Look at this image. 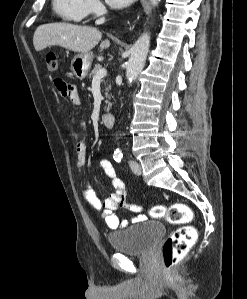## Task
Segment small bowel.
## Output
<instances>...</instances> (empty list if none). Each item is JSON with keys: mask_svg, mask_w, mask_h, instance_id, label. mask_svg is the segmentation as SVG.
<instances>
[{"mask_svg": "<svg viewBox=\"0 0 247 299\" xmlns=\"http://www.w3.org/2000/svg\"><path fill=\"white\" fill-rule=\"evenodd\" d=\"M54 85L57 91L68 99L72 104L78 105L80 103V98L78 95L77 88L74 84L68 83L63 79L56 78L54 80ZM80 127L86 130V123L84 121L80 122ZM76 152V165L78 168H82L86 162L87 155V144L85 140H80L77 142L75 147ZM100 168L106 175L109 185L112 191L107 195L104 201H101L95 194L94 190L90 185H85L83 188V197L85 201L93 207L95 210L102 213L107 226L112 229H118L119 227L126 226L127 221L119 218L114 211L119 208H125L133 212H141L142 207L133 204H127L125 202L126 197V187L124 182L117 176L116 171L112 163L107 159H102L99 162ZM145 215H138L132 218V222H140L146 220Z\"/></svg>", "mask_w": 247, "mask_h": 299, "instance_id": "obj_1", "label": "small bowel"}]
</instances>
